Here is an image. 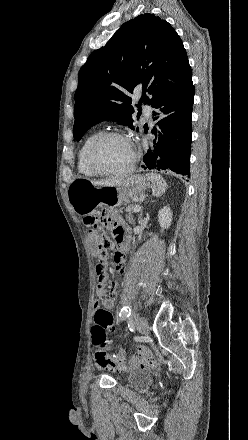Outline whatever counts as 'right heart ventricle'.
<instances>
[{"instance_id":"e07e8e85","label":"right heart ventricle","mask_w":248,"mask_h":440,"mask_svg":"<svg viewBox=\"0 0 248 440\" xmlns=\"http://www.w3.org/2000/svg\"><path fill=\"white\" fill-rule=\"evenodd\" d=\"M101 133V131L97 130L92 133H90L85 140L83 141L79 152H78V162L77 167L78 171L87 177H94L95 174L89 169L87 162H86V153L88 150L89 145L91 142Z\"/></svg>"}]
</instances>
